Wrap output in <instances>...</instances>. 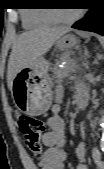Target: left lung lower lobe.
Returning a JSON list of instances; mask_svg holds the SVG:
<instances>
[{"label":"left lung lower lobe","instance_id":"0a47b994","mask_svg":"<svg viewBox=\"0 0 104 169\" xmlns=\"http://www.w3.org/2000/svg\"><path fill=\"white\" fill-rule=\"evenodd\" d=\"M72 28L92 31L104 35V10L92 8L85 18L76 22Z\"/></svg>","mask_w":104,"mask_h":169}]
</instances>
